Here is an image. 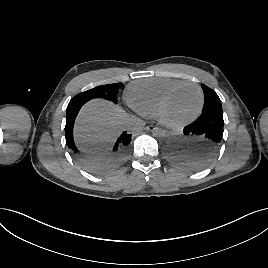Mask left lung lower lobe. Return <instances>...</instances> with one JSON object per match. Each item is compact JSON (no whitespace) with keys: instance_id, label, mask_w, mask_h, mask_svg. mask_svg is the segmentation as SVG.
Here are the masks:
<instances>
[{"instance_id":"left-lung-lower-lobe-1","label":"left lung lower lobe","mask_w":268,"mask_h":268,"mask_svg":"<svg viewBox=\"0 0 268 268\" xmlns=\"http://www.w3.org/2000/svg\"><path fill=\"white\" fill-rule=\"evenodd\" d=\"M223 127V112L201 114L167 145V162L174 168L185 170L211 164L221 146Z\"/></svg>"}]
</instances>
